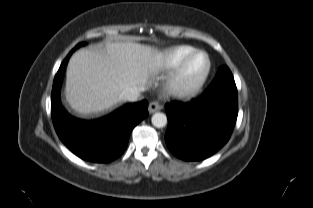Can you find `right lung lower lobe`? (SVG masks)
<instances>
[{"mask_svg": "<svg viewBox=\"0 0 313 208\" xmlns=\"http://www.w3.org/2000/svg\"><path fill=\"white\" fill-rule=\"evenodd\" d=\"M73 51L64 59L54 78L51 115L56 133L74 154L84 160L113 161L125 151L132 129L148 115V102L129 103L109 116L91 121L72 117L60 102V88Z\"/></svg>", "mask_w": 313, "mask_h": 208, "instance_id": "98d812e1", "label": "right lung lower lobe"}]
</instances>
